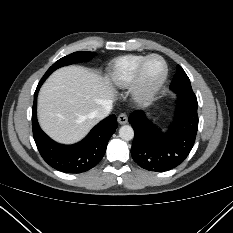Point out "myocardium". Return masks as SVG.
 <instances>
[{
    "label": "myocardium",
    "instance_id": "obj_1",
    "mask_svg": "<svg viewBox=\"0 0 233 233\" xmlns=\"http://www.w3.org/2000/svg\"><path fill=\"white\" fill-rule=\"evenodd\" d=\"M152 58H158L162 61L164 65V72L158 81L154 83H148L144 79V71H145L147 63ZM168 73H169V69H168L167 62L162 56L158 54H150L146 56L144 60L141 62V64L139 65L136 71L133 83H132V92L134 96L140 100H148L152 98L162 88V86L166 82Z\"/></svg>",
    "mask_w": 233,
    "mask_h": 233
}]
</instances>
